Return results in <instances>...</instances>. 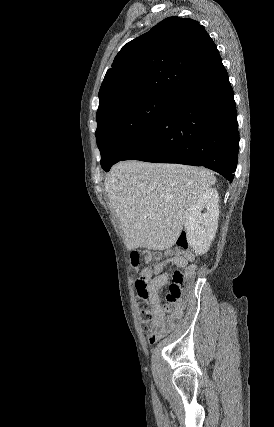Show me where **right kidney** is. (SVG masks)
<instances>
[{
    "mask_svg": "<svg viewBox=\"0 0 274 427\" xmlns=\"http://www.w3.org/2000/svg\"><path fill=\"white\" fill-rule=\"evenodd\" d=\"M219 194L216 188L205 190L189 214L186 215L185 229L189 247L196 253H206L215 237L219 219ZM206 208L205 214H202Z\"/></svg>",
    "mask_w": 274,
    "mask_h": 427,
    "instance_id": "obj_1",
    "label": "right kidney"
}]
</instances>
